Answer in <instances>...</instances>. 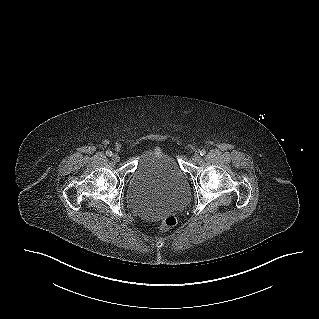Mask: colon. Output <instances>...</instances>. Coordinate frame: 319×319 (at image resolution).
<instances>
[{"mask_svg": "<svg viewBox=\"0 0 319 319\" xmlns=\"http://www.w3.org/2000/svg\"><path fill=\"white\" fill-rule=\"evenodd\" d=\"M176 223H177L176 216L173 214H170L161 220V222L157 226V232L159 233L165 232L171 229L172 227H174Z\"/></svg>", "mask_w": 319, "mask_h": 319, "instance_id": "obj_1", "label": "colon"}]
</instances>
